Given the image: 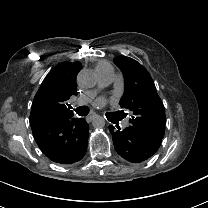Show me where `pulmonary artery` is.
Segmentation results:
<instances>
[{
	"label": "pulmonary artery",
	"instance_id": "obj_1",
	"mask_svg": "<svg viewBox=\"0 0 208 208\" xmlns=\"http://www.w3.org/2000/svg\"><path fill=\"white\" fill-rule=\"evenodd\" d=\"M100 76V81H101V85H107L109 84L114 77V69L112 66L108 67L104 72L99 74ZM89 102V99L87 97H84L82 100L78 99L76 101V104L78 106H81L83 103L87 104Z\"/></svg>",
	"mask_w": 208,
	"mask_h": 208
}]
</instances>
